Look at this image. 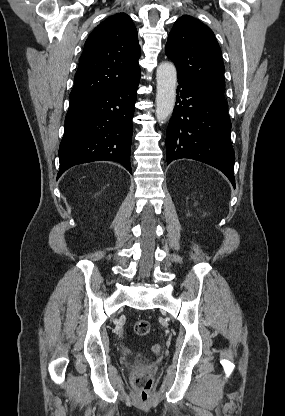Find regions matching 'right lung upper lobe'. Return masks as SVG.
I'll return each mask as SVG.
<instances>
[{
    "label": "right lung upper lobe",
    "instance_id": "1",
    "mask_svg": "<svg viewBox=\"0 0 285 416\" xmlns=\"http://www.w3.org/2000/svg\"><path fill=\"white\" fill-rule=\"evenodd\" d=\"M140 46L132 19L108 17L89 35L80 57L70 105L106 94L140 75Z\"/></svg>",
    "mask_w": 285,
    "mask_h": 416
}]
</instances>
